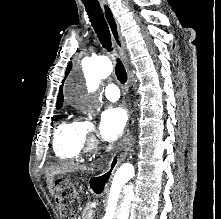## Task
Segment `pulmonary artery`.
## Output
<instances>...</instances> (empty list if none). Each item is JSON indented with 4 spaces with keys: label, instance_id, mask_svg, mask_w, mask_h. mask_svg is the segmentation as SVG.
I'll return each mask as SVG.
<instances>
[{
    "label": "pulmonary artery",
    "instance_id": "e3ab8cb5",
    "mask_svg": "<svg viewBox=\"0 0 221 219\" xmlns=\"http://www.w3.org/2000/svg\"><path fill=\"white\" fill-rule=\"evenodd\" d=\"M106 98L110 101H116L120 98V91L115 84H109L104 89Z\"/></svg>",
    "mask_w": 221,
    "mask_h": 219
}]
</instances>
